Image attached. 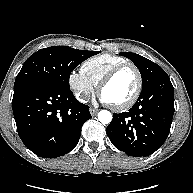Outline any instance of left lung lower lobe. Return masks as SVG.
<instances>
[{
  "mask_svg": "<svg viewBox=\"0 0 193 193\" xmlns=\"http://www.w3.org/2000/svg\"><path fill=\"white\" fill-rule=\"evenodd\" d=\"M174 114V89L167 74L141 91L128 112L113 114L106 133L127 155L149 156L165 142Z\"/></svg>",
  "mask_w": 193,
  "mask_h": 193,
  "instance_id": "1",
  "label": "left lung lower lobe"
}]
</instances>
